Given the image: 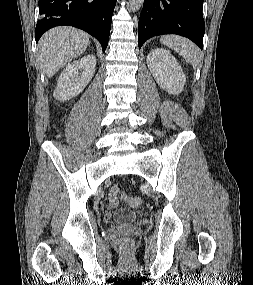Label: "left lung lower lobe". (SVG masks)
I'll use <instances>...</instances> for the list:
<instances>
[{
    "instance_id": "0a47b994",
    "label": "left lung lower lobe",
    "mask_w": 253,
    "mask_h": 285,
    "mask_svg": "<svg viewBox=\"0 0 253 285\" xmlns=\"http://www.w3.org/2000/svg\"><path fill=\"white\" fill-rule=\"evenodd\" d=\"M203 0H144L138 23V46L163 34H178L203 48Z\"/></svg>"
}]
</instances>
